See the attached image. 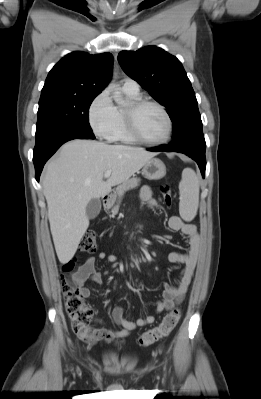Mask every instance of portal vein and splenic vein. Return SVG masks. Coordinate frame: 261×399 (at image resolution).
I'll use <instances>...</instances> for the list:
<instances>
[{"label": "portal vein and splenic vein", "mask_w": 261, "mask_h": 399, "mask_svg": "<svg viewBox=\"0 0 261 399\" xmlns=\"http://www.w3.org/2000/svg\"><path fill=\"white\" fill-rule=\"evenodd\" d=\"M111 173H112L111 170L106 171L105 174H104V177L105 178H109Z\"/></svg>", "instance_id": "portal-vein-and-splenic-vein-1"}]
</instances>
